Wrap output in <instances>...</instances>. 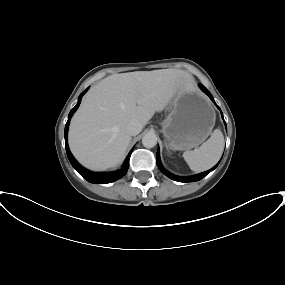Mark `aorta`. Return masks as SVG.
<instances>
[{
  "label": "aorta",
  "instance_id": "aorta-1",
  "mask_svg": "<svg viewBox=\"0 0 285 285\" xmlns=\"http://www.w3.org/2000/svg\"><path fill=\"white\" fill-rule=\"evenodd\" d=\"M142 144L146 148H153L157 144V137L155 133H146L142 138Z\"/></svg>",
  "mask_w": 285,
  "mask_h": 285
}]
</instances>
